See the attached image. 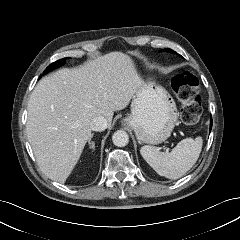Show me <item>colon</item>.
I'll return each instance as SVG.
<instances>
[{"label": "colon", "mask_w": 240, "mask_h": 240, "mask_svg": "<svg viewBox=\"0 0 240 240\" xmlns=\"http://www.w3.org/2000/svg\"><path fill=\"white\" fill-rule=\"evenodd\" d=\"M171 85L181 102V120L186 125L196 126L202 113L199 80L189 72H182L172 77Z\"/></svg>", "instance_id": "1"}]
</instances>
